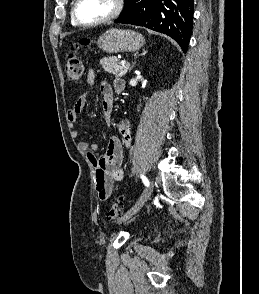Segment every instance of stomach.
I'll return each mask as SVG.
<instances>
[{"mask_svg": "<svg viewBox=\"0 0 259 294\" xmlns=\"http://www.w3.org/2000/svg\"><path fill=\"white\" fill-rule=\"evenodd\" d=\"M97 45L110 54L135 52L144 45V38L135 31L111 28L99 37Z\"/></svg>", "mask_w": 259, "mask_h": 294, "instance_id": "obj_1", "label": "stomach"}]
</instances>
